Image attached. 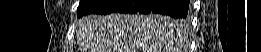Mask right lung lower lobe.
I'll list each match as a JSON object with an SVG mask.
<instances>
[{
  "instance_id": "98d812e1",
  "label": "right lung lower lobe",
  "mask_w": 261,
  "mask_h": 52,
  "mask_svg": "<svg viewBox=\"0 0 261 52\" xmlns=\"http://www.w3.org/2000/svg\"><path fill=\"white\" fill-rule=\"evenodd\" d=\"M189 0H105L90 13L109 14L113 12L131 14H162L173 18L186 19Z\"/></svg>"
}]
</instances>
